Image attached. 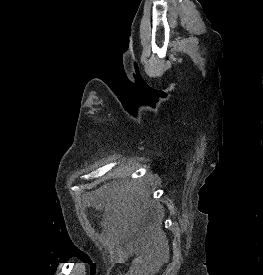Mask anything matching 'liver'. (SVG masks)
I'll return each mask as SVG.
<instances>
[{
  "label": "liver",
  "instance_id": "obj_1",
  "mask_svg": "<svg viewBox=\"0 0 263 275\" xmlns=\"http://www.w3.org/2000/svg\"><path fill=\"white\" fill-rule=\"evenodd\" d=\"M130 193L131 190L129 187L105 186L94 194V198L100 202L106 203V207L114 209L125 221L129 222H132L138 213L149 207H154L158 214L162 213V207L159 205L144 203L142 207L140 204L134 206V204L130 202ZM158 234L162 236V232H158Z\"/></svg>",
  "mask_w": 263,
  "mask_h": 275
}]
</instances>
